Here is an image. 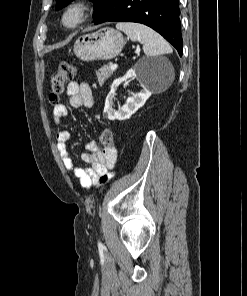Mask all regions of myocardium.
Here are the masks:
<instances>
[{"label":"myocardium","mask_w":247,"mask_h":296,"mask_svg":"<svg viewBox=\"0 0 247 296\" xmlns=\"http://www.w3.org/2000/svg\"><path fill=\"white\" fill-rule=\"evenodd\" d=\"M89 11L90 5L84 0H75L68 3L62 12V26L70 30L79 27L86 21Z\"/></svg>","instance_id":"f54148a6"}]
</instances>
